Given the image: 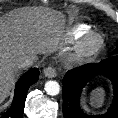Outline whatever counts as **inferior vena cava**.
<instances>
[{"mask_svg": "<svg viewBox=\"0 0 118 118\" xmlns=\"http://www.w3.org/2000/svg\"><path fill=\"white\" fill-rule=\"evenodd\" d=\"M36 60H37L36 55H30L26 57L22 62L19 63V67L24 68V67L33 66L36 63Z\"/></svg>", "mask_w": 118, "mask_h": 118, "instance_id": "602c4592", "label": "inferior vena cava"}]
</instances>
